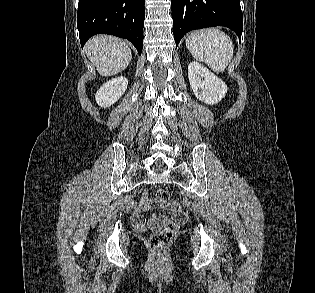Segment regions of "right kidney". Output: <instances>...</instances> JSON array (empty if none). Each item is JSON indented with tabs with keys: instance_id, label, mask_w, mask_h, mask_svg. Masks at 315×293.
<instances>
[{
	"instance_id": "right-kidney-1",
	"label": "right kidney",
	"mask_w": 315,
	"mask_h": 293,
	"mask_svg": "<svg viewBox=\"0 0 315 293\" xmlns=\"http://www.w3.org/2000/svg\"><path fill=\"white\" fill-rule=\"evenodd\" d=\"M128 80L124 76L116 77L106 82L95 95L96 102L101 107H109L124 94Z\"/></svg>"
}]
</instances>
